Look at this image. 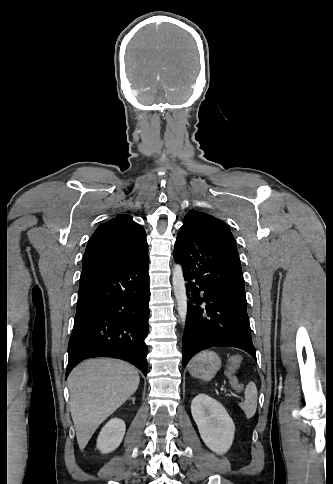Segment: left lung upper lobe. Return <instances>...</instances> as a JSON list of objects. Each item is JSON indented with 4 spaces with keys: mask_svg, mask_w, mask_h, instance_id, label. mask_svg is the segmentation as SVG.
<instances>
[{
    "mask_svg": "<svg viewBox=\"0 0 333 484\" xmlns=\"http://www.w3.org/2000/svg\"><path fill=\"white\" fill-rule=\"evenodd\" d=\"M191 219H197V220H201V221H215V220H217V221L224 223L223 221L215 218L212 215H209L207 213L198 212V211H195V210L187 213L185 218H184V221L191 220Z\"/></svg>",
    "mask_w": 333,
    "mask_h": 484,
    "instance_id": "1",
    "label": "left lung upper lobe"
}]
</instances>
